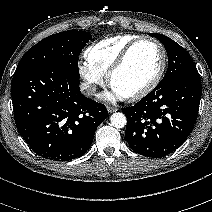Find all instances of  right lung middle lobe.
<instances>
[{
    "mask_svg": "<svg viewBox=\"0 0 212 212\" xmlns=\"http://www.w3.org/2000/svg\"><path fill=\"white\" fill-rule=\"evenodd\" d=\"M92 36L68 30L44 38L30 48L19 62L15 74L41 67L63 69L79 78L78 56Z\"/></svg>",
    "mask_w": 212,
    "mask_h": 212,
    "instance_id": "right-lung-middle-lobe-1",
    "label": "right lung middle lobe"
}]
</instances>
